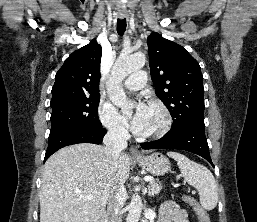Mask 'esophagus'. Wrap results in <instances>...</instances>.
Segmentation results:
<instances>
[{
	"instance_id": "esophagus-1",
	"label": "esophagus",
	"mask_w": 257,
	"mask_h": 222,
	"mask_svg": "<svg viewBox=\"0 0 257 222\" xmlns=\"http://www.w3.org/2000/svg\"><path fill=\"white\" fill-rule=\"evenodd\" d=\"M127 16V14L123 11L119 12V17L121 19L125 18ZM130 153H131V156L132 157H141L142 154L140 153V151L138 150L137 147L135 146H132L131 149H130Z\"/></svg>"
}]
</instances>
